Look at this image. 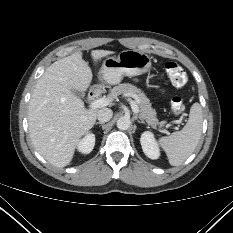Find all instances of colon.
<instances>
[{"label": "colon", "mask_w": 233, "mask_h": 233, "mask_svg": "<svg viewBox=\"0 0 233 233\" xmlns=\"http://www.w3.org/2000/svg\"><path fill=\"white\" fill-rule=\"evenodd\" d=\"M166 75L174 87L181 88L187 83V74L184 69L176 62L169 61L165 63ZM185 110V104L179 97L171 101V113L174 116L181 115Z\"/></svg>", "instance_id": "colon-1"}]
</instances>
